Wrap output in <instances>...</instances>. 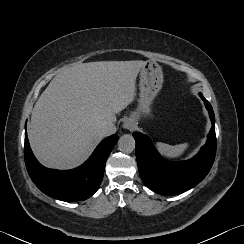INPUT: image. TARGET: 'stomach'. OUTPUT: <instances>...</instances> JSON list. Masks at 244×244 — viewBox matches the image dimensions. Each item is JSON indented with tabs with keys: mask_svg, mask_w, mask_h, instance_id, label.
Wrapping results in <instances>:
<instances>
[{
	"mask_svg": "<svg viewBox=\"0 0 244 244\" xmlns=\"http://www.w3.org/2000/svg\"><path fill=\"white\" fill-rule=\"evenodd\" d=\"M162 84L163 72L161 66L156 61H146L140 69V94L138 108L133 114L135 118L151 113L152 102L160 92Z\"/></svg>",
	"mask_w": 244,
	"mask_h": 244,
	"instance_id": "stomach-1",
	"label": "stomach"
}]
</instances>
